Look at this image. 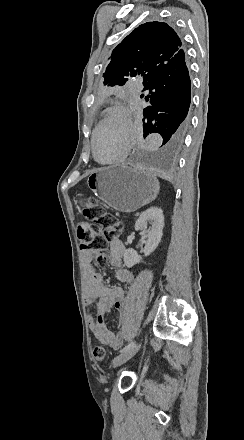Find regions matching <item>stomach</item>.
<instances>
[{
  "label": "stomach",
  "mask_w": 244,
  "mask_h": 440,
  "mask_svg": "<svg viewBox=\"0 0 244 440\" xmlns=\"http://www.w3.org/2000/svg\"><path fill=\"white\" fill-rule=\"evenodd\" d=\"M87 186L97 198L118 212H135L150 204L160 188L157 178L149 170L123 164L92 172L87 178Z\"/></svg>",
  "instance_id": "stomach-1"
}]
</instances>
